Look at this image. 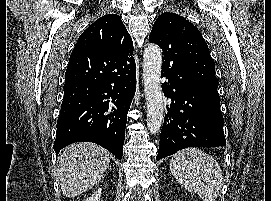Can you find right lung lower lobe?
<instances>
[{
  "label": "right lung lower lobe",
  "mask_w": 271,
  "mask_h": 201,
  "mask_svg": "<svg viewBox=\"0 0 271 201\" xmlns=\"http://www.w3.org/2000/svg\"><path fill=\"white\" fill-rule=\"evenodd\" d=\"M136 90L135 61L97 49L77 48L65 73L54 150L93 142L123 155L127 113Z\"/></svg>",
  "instance_id": "right-lung-lower-lobe-1"
}]
</instances>
